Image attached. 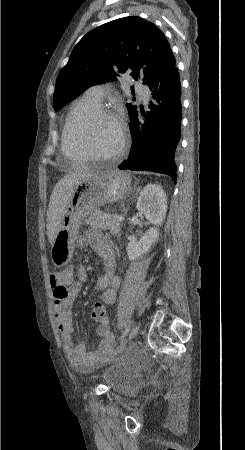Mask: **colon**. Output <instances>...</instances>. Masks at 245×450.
<instances>
[{"label": "colon", "instance_id": "colon-1", "mask_svg": "<svg viewBox=\"0 0 245 450\" xmlns=\"http://www.w3.org/2000/svg\"><path fill=\"white\" fill-rule=\"evenodd\" d=\"M61 287H64L63 284H61ZM91 319L99 324H105L108 322V313L107 309L104 304L102 303H95L93 304L91 311H90Z\"/></svg>", "mask_w": 245, "mask_h": 450}]
</instances>
